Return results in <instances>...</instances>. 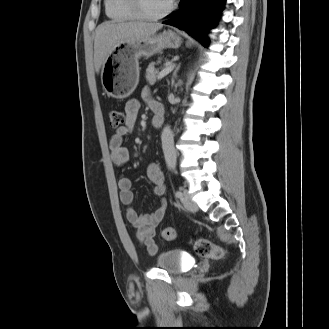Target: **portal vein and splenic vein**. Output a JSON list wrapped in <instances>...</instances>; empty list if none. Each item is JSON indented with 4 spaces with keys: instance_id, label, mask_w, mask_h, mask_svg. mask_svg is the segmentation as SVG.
<instances>
[{
    "instance_id": "obj_1",
    "label": "portal vein and splenic vein",
    "mask_w": 329,
    "mask_h": 329,
    "mask_svg": "<svg viewBox=\"0 0 329 329\" xmlns=\"http://www.w3.org/2000/svg\"><path fill=\"white\" fill-rule=\"evenodd\" d=\"M174 68V65H168L166 68H164L157 76L158 79H162L164 76H166L169 72H171Z\"/></svg>"
}]
</instances>
